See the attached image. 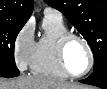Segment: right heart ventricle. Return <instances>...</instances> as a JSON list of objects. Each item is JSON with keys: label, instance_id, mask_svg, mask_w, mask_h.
Returning a JSON list of instances; mask_svg holds the SVG:
<instances>
[{"label": "right heart ventricle", "instance_id": "right-heart-ventricle-1", "mask_svg": "<svg viewBox=\"0 0 107 89\" xmlns=\"http://www.w3.org/2000/svg\"><path fill=\"white\" fill-rule=\"evenodd\" d=\"M44 33L36 42L30 68L33 74L66 79L68 76L62 70L57 58V41L68 32L62 18L44 16Z\"/></svg>", "mask_w": 107, "mask_h": 89}]
</instances>
